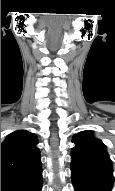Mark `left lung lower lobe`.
I'll return each instance as SVG.
<instances>
[{
    "mask_svg": "<svg viewBox=\"0 0 115 191\" xmlns=\"http://www.w3.org/2000/svg\"><path fill=\"white\" fill-rule=\"evenodd\" d=\"M75 191H111L113 173L95 166L71 163Z\"/></svg>",
    "mask_w": 115,
    "mask_h": 191,
    "instance_id": "left-lung-lower-lobe-1",
    "label": "left lung lower lobe"
}]
</instances>
